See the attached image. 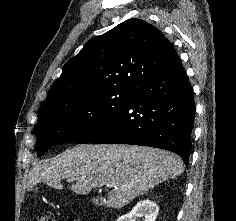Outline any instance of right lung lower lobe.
<instances>
[{
	"mask_svg": "<svg viewBox=\"0 0 236 221\" xmlns=\"http://www.w3.org/2000/svg\"><path fill=\"white\" fill-rule=\"evenodd\" d=\"M193 88L180 59L141 82L130 99L78 143L151 146L178 154L189 163L194 126Z\"/></svg>",
	"mask_w": 236,
	"mask_h": 221,
	"instance_id": "98d812e1",
	"label": "right lung lower lobe"
}]
</instances>
